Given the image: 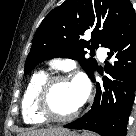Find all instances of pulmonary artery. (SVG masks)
Returning a JSON list of instances; mask_svg holds the SVG:
<instances>
[{
	"label": "pulmonary artery",
	"instance_id": "obj_1",
	"mask_svg": "<svg viewBox=\"0 0 136 136\" xmlns=\"http://www.w3.org/2000/svg\"><path fill=\"white\" fill-rule=\"evenodd\" d=\"M98 57L103 60L106 57V51L104 48H98L97 50Z\"/></svg>",
	"mask_w": 136,
	"mask_h": 136
}]
</instances>
